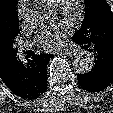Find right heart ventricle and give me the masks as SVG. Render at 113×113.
Here are the masks:
<instances>
[{
  "mask_svg": "<svg viewBox=\"0 0 113 113\" xmlns=\"http://www.w3.org/2000/svg\"><path fill=\"white\" fill-rule=\"evenodd\" d=\"M48 6L55 7L59 0H40Z\"/></svg>",
  "mask_w": 113,
  "mask_h": 113,
  "instance_id": "1",
  "label": "right heart ventricle"
}]
</instances>
